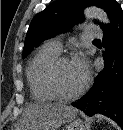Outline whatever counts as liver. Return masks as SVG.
<instances>
[{
  "instance_id": "liver-1",
  "label": "liver",
  "mask_w": 123,
  "mask_h": 130,
  "mask_svg": "<svg viewBox=\"0 0 123 130\" xmlns=\"http://www.w3.org/2000/svg\"><path fill=\"white\" fill-rule=\"evenodd\" d=\"M76 109L57 103H32L27 106L18 130H58L76 117Z\"/></svg>"
}]
</instances>
